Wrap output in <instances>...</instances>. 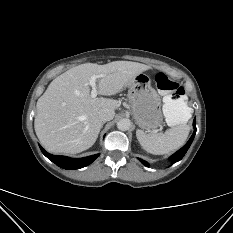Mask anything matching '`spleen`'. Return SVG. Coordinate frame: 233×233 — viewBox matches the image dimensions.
<instances>
[{
    "mask_svg": "<svg viewBox=\"0 0 233 233\" xmlns=\"http://www.w3.org/2000/svg\"><path fill=\"white\" fill-rule=\"evenodd\" d=\"M163 114L172 128L165 133L136 131V136L144 150L151 154L163 155L179 149L186 141L189 127L186 125L192 117L189 108L182 99L165 98Z\"/></svg>",
    "mask_w": 233,
    "mask_h": 233,
    "instance_id": "3e777b00",
    "label": "spleen"
}]
</instances>
